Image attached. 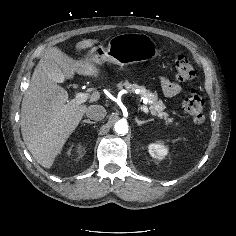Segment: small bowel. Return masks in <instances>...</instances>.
Wrapping results in <instances>:
<instances>
[{"label": "small bowel", "instance_id": "c3829d8e", "mask_svg": "<svg viewBox=\"0 0 236 236\" xmlns=\"http://www.w3.org/2000/svg\"><path fill=\"white\" fill-rule=\"evenodd\" d=\"M160 84H161V88H162L163 93L167 97H173V96L177 95L180 92L179 85H177L176 83L170 81L167 78L162 77L160 79Z\"/></svg>", "mask_w": 236, "mask_h": 236}]
</instances>
